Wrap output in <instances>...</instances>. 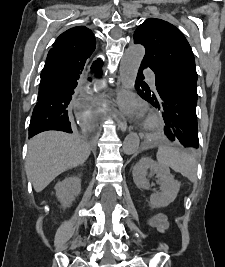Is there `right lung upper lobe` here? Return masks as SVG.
Segmentation results:
<instances>
[{
	"instance_id": "right-lung-upper-lobe-1",
	"label": "right lung upper lobe",
	"mask_w": 225,
	"mask_h": 267,
	"mask_svg": "<svg viewBox=\"0 0 225 267\" xmlns=\"http://www.w3.org/2000/svg\"><path fill=\"white\" fill-rule=\"evenodd\" d=\"M95 46L94 34L85 26H77L65 31L53 44V47H75L89 50H94Z\"/></svg>"
}]
</instances>
